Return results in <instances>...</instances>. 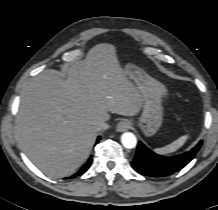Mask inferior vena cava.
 I'll return each mask as SVG.
<instances>
[{
	"mask_svg": "<svg viewBox=\"0 0 218 210\" xmlns=\"http://www.w3.org/2000/svg\"><path fill=\"white\" fill-rule=\"evenodd\" d=\"M109 127V124L105 121H100L96 125L97 130H107Z\"/></svg>",
	"mask_w": 218,
	"mask_h": 210,
	"instance_id": "1",
	"label": "inferior vena cava"
}]
</instances>
